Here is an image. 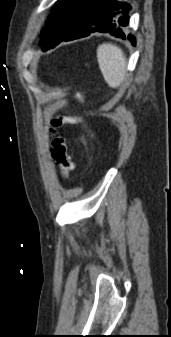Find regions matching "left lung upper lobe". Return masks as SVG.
<instances>
[{"instance_id":"5c2ea615","label":"left lung upper lobe","mask_w":171,"mask_h":337,"mask_svg":"<svg viewBox=\"0 0 171 337\" xmlns=\"http://www.w3.org/2000/svg\"><path fill=\"white\" fill-rule=\"evenodd\" d=\"M86 0H59L56 2L48 25L43 28L40 45L43 51L54 48L76 25Z\"/></svg>"}]
</instances>
